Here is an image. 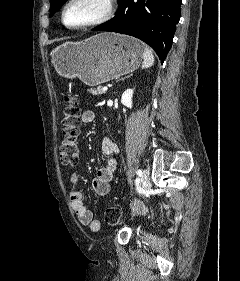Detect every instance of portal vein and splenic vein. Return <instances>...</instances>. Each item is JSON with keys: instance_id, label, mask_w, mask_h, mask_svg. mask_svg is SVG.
Here are the masks:
<instances>
[{"instance_id": "obj_1", "label": "portal vein and splenic vein", "mask_w": 240, "mask_h": 281, "mask_svg": "<svg viewBox=\"0 0 240 281\" xmlns=\"http://www.w3.org/2000/svg\"><path fill=\"white\" fill-rule=\"evenodd\" d=\"M102 89H103V91H107L108 90V86H104Z\"/></svg>"}]
</instances>
